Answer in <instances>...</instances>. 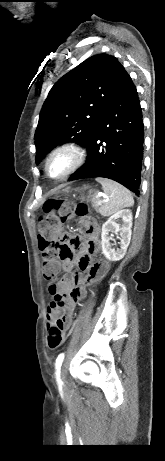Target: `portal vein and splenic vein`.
I'll return each mask as SVG.
<instances>
[{
    "label": "portal vein and splenic vein",
    "instance_id": "1",
    "mask_svg": "<svg viewBox=\"0 0 165 461\" xmlns=\"http://www.w3.org/2000/svg\"><path fill=\"white\" fill-rule=\"evenodd\" d=\"M107 201H108V199H106V197H105L103 200H102V199H99V200L97 201V204H98V205H101L102 203L107 202Z\"/></svg>",
    "mask_w": 165,
    "mask_h": 461
}]
</instances>
